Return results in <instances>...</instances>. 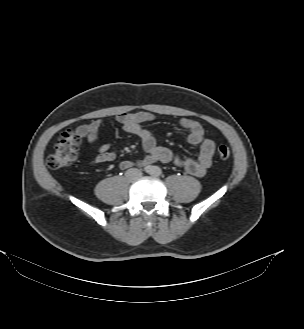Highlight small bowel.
<instances>
[{"mask_svg":"<svg viewBox=\"0 0 304 329\" xmlns=\"http://www.w3.org/2000/svg\"><path fill=\"white\" fill-rule=\"evenodd\" d=\"M154 115L149 112L139 111L131 113H121L116 117V122L127 132L138 136L141 140L146 157L139 161V164L150 163H172L183 168L189 174L197 177L203 176L212 163L215 151L214 142L209 139L201 124L190 118H181L177 121V126L187 132L188 141L195 146H199L200 151L197 159L185 158L174 154L167 147L157 143L153 134L145 127V124L154 120ZM101 121L95 120L91 123L77 127L76 133L80 139L88 143L95 144L97 155L92 158L91 164L96 166L101 163L115 160L117 154L113 146L98 144ZM135 165L130 160L121 161L119 167L128 169Z\"/></svg>","mask_w":304,"mask_h":329,"instance_id":"obj_1","label":"small bowel"}]
</instances>
